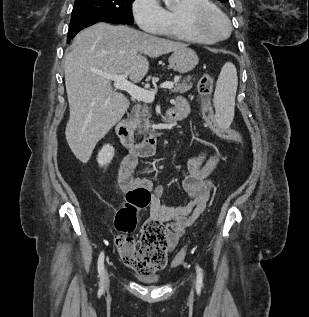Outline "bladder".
<instances>
[{
    "label": "bladder",
    "instance_id": "31cf9c89",
    "mask_svg": "<svg viewBox=\"0 0 309 317\" xmlns=\"http://www.w3.org/2000/svg\"><path fill=\"white\" fill-rule=\"evenodd\" d=\"M138 279L144 283L153 284L159 281V276L158 275H146V276L141 275V276H138Z\"/></svg>",
    "mask_w": 309,
    "mask_h": 317
}]
</instances>
